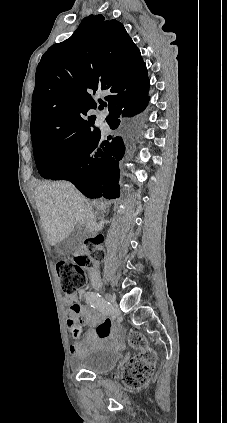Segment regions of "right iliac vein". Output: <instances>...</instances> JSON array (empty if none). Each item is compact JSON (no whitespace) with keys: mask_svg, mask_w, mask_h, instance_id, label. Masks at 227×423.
I'll list each match as a JSON object with an SVG mask.
<instances>
[{"mask_svg":"<svg viewBox=\"0 0 227 423\" xmlns=\"http://www.w3.org/2000/svg\"><path fill=\"white\" fill-rule=\"evenodd\" d=\"M97 289H98L99 291H101V290H102V289H101V287H97ZM104 296H105V298L107 299V301L111 304L112 308H113V309H116V308H117V306H116V302H115L114 298H112L109 294H104Z\"/></svg>","mask_w":227,"mask_h":423,"instance_id":"1","label":"right iliac vein"}]
</instances>
